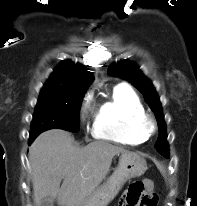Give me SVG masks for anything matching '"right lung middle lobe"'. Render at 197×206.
<instances>
[{
	"mask_svg": "<svg viewBox=\"0 0 197 206\" xmlns=\"http://www.w3.org/2000/svg\"><path fill=\"white\" fill-rule=\"evenodd\" d=\"M83 95L84 93L41 92L31 123L30 139L53 128L78 132Z\"/></svg>",
	"mask_w": 197,
	"mask_h": 206,
	"instance_id": "obj_1",
	"label": "right lung middle lobe"
}]
</instances>
